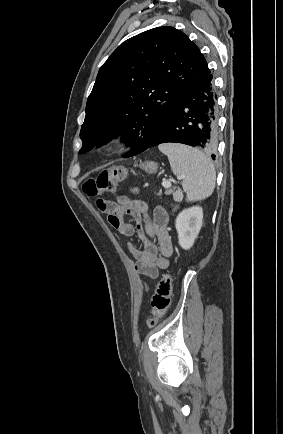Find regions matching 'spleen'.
Segmentation results:
<instances>
[{
	"label": "spleen",
	"instance_id": "spleen-1",
	"mask_svg": "<svg viewBox=\"0 0 283 434\" xmlns=\"http://www.w3.org/2000/svg\"><path fill=\"white\" fill-rule=\"evenodd\" d=\"M159 150L170 162L172 172L183 179L188 202L201 201L212 195L216 172L212 161L201 151L181 144H161Z\"/></svg>",
	"mask_w": 283,
	"mask_h": 434
}]
</instances>
